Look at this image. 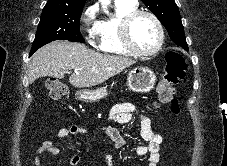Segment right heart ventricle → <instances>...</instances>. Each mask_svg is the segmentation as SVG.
I'll return each mask as SVG.
<instances>
[{
  "label": "right heart ventricle",
  "instance_id": "1",
  "mask_svg": "<svg viewBox=\"0 0 227 166\" xmlns=\"http://www.w3.org/2000/svg\"><path fill=\"white\" fill-rule=\"evenodd\" d=\"M136 11V5L115 1V14L98 22L97 48L105 53L129 55L119 38V27L122 19Z\"/></svg>",
  "mask_w": 227,
  "mask_h": 166
}]
</instances>
